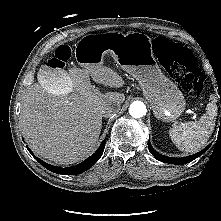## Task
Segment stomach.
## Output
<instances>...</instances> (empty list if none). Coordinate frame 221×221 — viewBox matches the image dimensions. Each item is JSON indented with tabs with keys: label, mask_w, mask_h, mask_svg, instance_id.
Listing matches in <instances>:
<instances>
[{
	"label": "stomach",
	"mask_w": 221,
	"mask_h": 221,
	"mask_svg": "<svg viewBox=\"0 0 221 221\" xmlns=\"http://www.w3.org/2000/svg\"><path fill=\"white\" fill-rule=\"evenodd\" d=\"M83 40L78 64L92 70L103 64L108 54L128 74L138 81L143 94L150 102L155 117L164 122H173L185 110V99L178 87L165 77L152 52V40L139 32L123 34L111 31L91 35Z\"/></svg>",
	"instance_id": "stomach-1"
}]
</instances>
